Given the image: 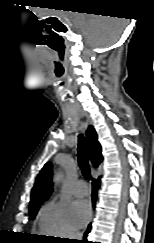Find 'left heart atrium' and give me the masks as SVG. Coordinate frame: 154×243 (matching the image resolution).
<instances>
[{
    "mask_svg": "<svg viewBox=\"0 0 154 243\" xmlns=\"http://www.w3.org/2000/svg\"><path fill=\"white\" fill-rule=\"evenodd\" d=\"M91 215V206L86 200L75 201L69 209V216L74 226L81 228Z\"/></svg>",
    "mask_w": 154,
    "mask_h": 243,
    "instance_id": "39dd6f15",
    "label": "left heart atrium"
}]
</instances>
